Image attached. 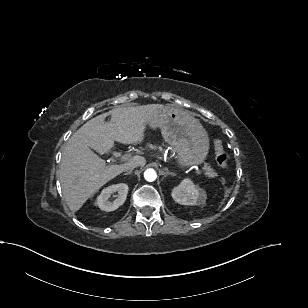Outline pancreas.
I'll return each instance as SVG.
<instances>
[{"label": "pancreas", "mask_w": 308, "mask_h": 308, "mask_svg": "<svg viewBox=\"0 0 308 308\" xmlns=\"http://www.w3.org/2000/svg\"><path fill=\"white\" fill-rule=\"evenodd\" d=\"M151 149H154V148H156V146H154V145H151V144H149L148 145Z\"/></svg>", "instance_id": "pancreas-1"}]
</instances>
